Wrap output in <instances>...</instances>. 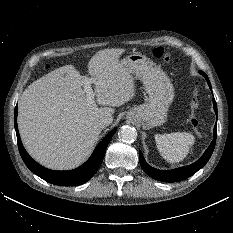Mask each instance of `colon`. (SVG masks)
I'll return each instance as SVG.
<instances>
[{"label": "colon", "mask_w": 233, "mask_h": 233, "mask_svg": "<svg viewBox=\"0 0 233 233\" xmlns=\"http://www.w3.org/2000/svg\"><path fill=\"white\" fill-rule=\"evenodd\" d=\"M152 55L155 58L162 59L163 61L167 63H179L178 58H174L169 54L164 48L162 47H156L152 51ZM200 106V101H199V95L198 91L195 89L193 92V96L190 101V113H189V123L191 127L196 131L199 132L200 130V121L197 116V111Z\"/></svg>", "instance_id": "1"}]
</instances>
